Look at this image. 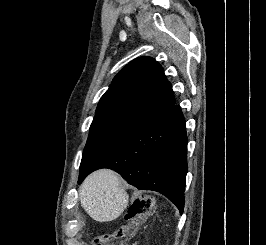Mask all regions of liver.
<instances>
[{"label": "liver", "instance_id": "liver-1", "mask_svg": "<svg viewBox=\"0 0 266 245\" xmlns=\"http://www.w3.org/2000/svg\"><path fill=\"white\" fill-rule=\"evenodd\" d=\"M81 207L99 223L115 221L128 205V195L122 179L114 171L101 169L89 175L79 191Z\"/></svg>", "mask_w": 266, "mask_h": 245}]
</instances>
